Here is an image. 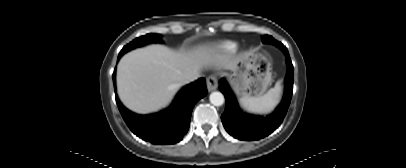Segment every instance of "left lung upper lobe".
<instances>
[{
	"mask_svg": "<svg viewBox=\"0 0 406 168\" xmlns=\"http://www.w3.org/2000/svg\"><path fill=\"white\" fill-rule=\"evenodd\" d=\"M262 42L263 43H271V44H275L278 45L281 49H283V44L277 40H275L272 36L269 35H265L262 37Z\"/></svg>",
	"mask_w": 406,
	"mask_h": 168,
	"instance_id": "obj_1",
	"label": "left lung upper lobe"
}]
</instances>
